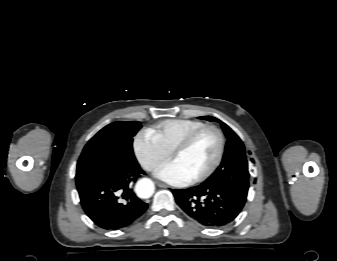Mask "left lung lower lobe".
I'll return each instance as SVG.
<instances>
[{
    "instance_id": "obj_1",
    "label": "left lung lower lobe",
    "mask_w": 337,
    "mask_h": 261,
    "mask_svg": "<svg viewBox=\"0 0 337 261\" xmlns=\"http://www.w3.org/2000/svg\"><path fill=\"white\" fill-rule=\"evenodd\" d=\"M180 208L196 222L212 228L231 223L246 200L219 185H204L172 190Z\"/></svg>"
}]
</instances>
